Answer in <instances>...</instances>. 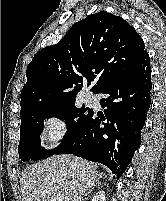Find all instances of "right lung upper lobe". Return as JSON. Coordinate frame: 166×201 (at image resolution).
Instances as JSON below:
<instances>
[{
    "label": "right lung upper lobe",
    "mask_w": 166,
    "mask_h": 201,
    "mask_svg": "<svg viewBox=\"0 0 166 201\" xmlns=\"http://www.w3.org/2000/svg\"><path fill=\"white\" fill-rule=\"evenodd\" d=\"M145 54L142 38L123 18L106 11L89 15L57 44L34 55L21 91L20 115L75 101L85 81L96 93Z\"/></svg>",
    "instance_id": "cb5924a9"
}]
</instances>
